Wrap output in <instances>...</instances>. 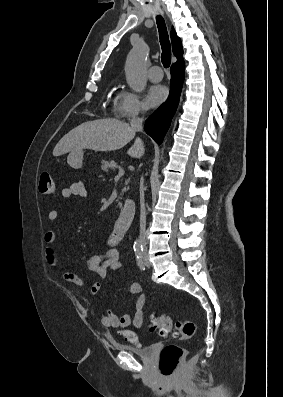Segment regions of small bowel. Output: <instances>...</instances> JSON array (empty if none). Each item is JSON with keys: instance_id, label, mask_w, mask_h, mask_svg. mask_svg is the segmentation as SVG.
<instances>
[{"instance_id": "c3829d8e", "label": "small bowel", "mask_w": 283, "mask_h": 397, "mask_svg": "<svg viewBox=\"0 0 283 397\" xmlns=\"http://www.w3.org/2000/svg\"><path fill=\"white\" fill-rule=\"evenodd\" d=\"M86 195V186L82 181H76L61 190V196L67 199L73 197H84ZM60 217L58 209H52L48 213L50 221H56ZM122 235L113 231L108 239L111 246L117 244ZM44 243L46 244L44 255L45 261L52 269L58 268V259L52 244L56 240V233L53 230L45 232L43 236ZM89 270L94 272L99 279H104L109 271H118L123 269V263L120 259L119 252L115 248H110L108 251L90 257L87 261ZM59 276L66 282L77 285L79 287L88 288L92 295H96L100 290V283L98 281H87L79 277L73 272H61ZM129 292L137 295L134 303L133 314L117 315L112 311H107L101 316V323L107 328H125L133 324L135 328H140L143 323V310L146 303V297L142 293V286L138 282H133L129 286Z\"/></svg>"}]
</instances>
